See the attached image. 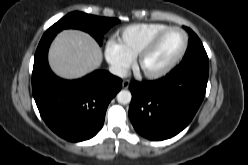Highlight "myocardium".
Here are the masks:
<instances>
[{
  "label": "myocardium",
  "instance_id": "obj_1",
  "mask_svg": "<svg viewBox=\"0 0 248 165\" xmlns=\"http://www.w3.org/2000/svg\"><path fill=\"white\" fill-rule=\"evenodd\" d=\"M171 31H179L183 35V44L179 52L164 66H162L159 69L153 70V71H143L140 68V64L143 60V58L149 54L152 49L156 46L158 41L168 32ZM188 48V35L187 33L178 26H168L164 28L163 30L157 32L154 34L146 43L145 45L139 50V52L134 57V69L135 71L140 74L143 77H146L148 79H156L159 77H162L163 75L167 74L169 71H171L183 58Z\"/></svg>",
  "mask_w": 248,
  "mask_h": 165
}]
</instances>
